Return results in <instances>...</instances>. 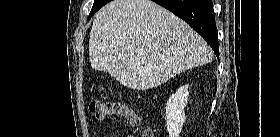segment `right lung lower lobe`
Returning <instances> with one entry per match:
<instances>
[{"instance_id": "1", "label": "right lung lower lobe", "mask_w": 280, "mask_h": 137, "mask_svg": "<svg viewBox=\"0 0 280 137\" xmlns=\"http://www.w3.org/2000/svg\"><path fill=\"white\" fill-rule=\"evenodd\" d=\"M186 21L219 57V42L212 0H152Z\"/></svg>"}]
</instances>
